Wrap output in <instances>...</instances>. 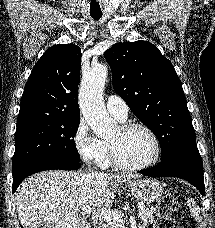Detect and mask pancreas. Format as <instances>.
<instances>
[{
    "label": "pancreas",
    "instance_id": "1",
    "mask_svg": "<svg viewBox=\"0 0 215 228\" xmlns=\"http://www.w3.org/2000/svg\"><path fill=\"white\" fill-rule=\"evenodd\" d=\"M138 218H140L142 222L139 228H147L149 224H155V216L152 210H149V208H145V210H139ZM110 228H112V226H110Z\"/></svg>",
    "mask_w": 215,
    "mask_h": 228
}]
</instances>
